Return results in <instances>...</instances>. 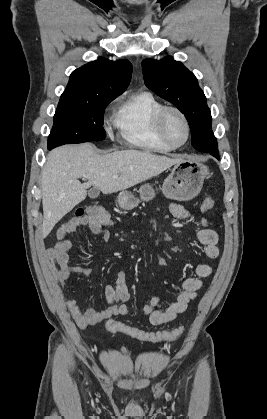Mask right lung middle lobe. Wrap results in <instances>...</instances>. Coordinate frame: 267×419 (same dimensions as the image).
Here are the masks:
<instances>
[{
  "instance_id": "obj_1",
  "label": "right lung middle lobe",
  "mask_w": 267,
  "mask_h": 419,
  "mask_svg": "<svg viewBox=\"0 0 267 419\" xmlns=\"http://www.w3.org/2000/svg\"><path fill=\"white\" fill-rule=\"evenodd\" d=\"M116 97H61L48 138V149L66 143L104 140L106 137L103 128L104 110Z\"/></svg>"
}]
</instances>
